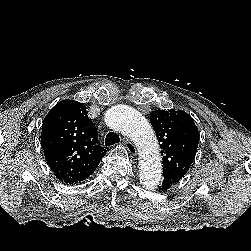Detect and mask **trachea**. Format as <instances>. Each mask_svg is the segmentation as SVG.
<instances>
[{
    "label": "trachea",
    "mask_w": 251,
    "mask_h": 251,
    "mask_svg": "<svg viewBox=\"0 0 251 251\" xmlns=\"http://www.w3.org/2000/svg\"><path fill=\"white\" fill-rule=\"evenodd\" d=\"M120 142L119 135L114 132H109L105 138V145L112 146Z\"/></svg>",
    "instance_id": "1"
}]
</instances>
